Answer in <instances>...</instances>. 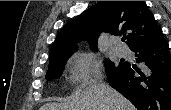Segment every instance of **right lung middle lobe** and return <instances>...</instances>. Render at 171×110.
<instances>
[{
    "instance_id": "right-lung-middle-lobe-1",
    "label": "right lung middle lobe",
    "mask_w": 171,
    "mask_h": 110,
    "mask_svg": "<svg viewBox=\"0 0 171 110\" xmlns=\"http://www.w3.org/2000/svg\"><path fill=\"white\" fill-rule=\"evenodd\" d=\"M71 55H62L58 56L56 58H53L52 60L49 61V68L46 73V79L47 80H53L61 76L64 65L67 61V59ZM123 63H119V66L122 65ZM106 68H107V73L110 71L115 70L117 67L110 61L106 60Z\"/></svg>"
}]
</instances>
